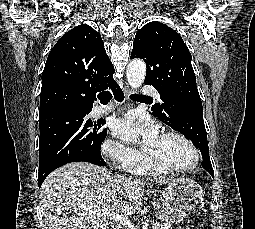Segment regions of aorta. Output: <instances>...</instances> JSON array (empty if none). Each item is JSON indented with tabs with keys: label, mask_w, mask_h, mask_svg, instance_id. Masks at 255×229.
Segmentation results:
<instances>
[{
	"label": "aorta",
	"mask_w": 255,
	"mask_h": 229,
	"mask_svg": "<svg viewBox=\"0 0 255 229\" xmlns=\"http://www.w3.org/2000/svg\"><path fill=\"white\" fill-rule=\"evenodd\" d=\"M146 75V65L140 59L132 60L127 66V80L131 88L137 89L144 82Z\"/></svg>",
	"instance_id": "1"
}]
</instances>
